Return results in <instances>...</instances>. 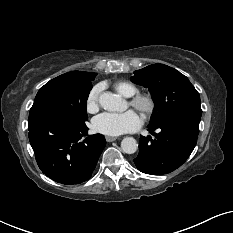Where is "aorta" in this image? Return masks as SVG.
I'll return each instance as SVG.
<instances>
[{"label": "aorta", "instance_id": "obj_1", "mask_svg": "<svg viewBox=\"0 0 233 233\" xmlns=\"http://www.w3.org/2000/svg\"><path fill=\"white\" fill-rule=\"evenodd\" d=\"M100 106L110 112L122 111L125 103L122 98L111 92H104L99 97ZM138 148L137 142L133 137H126L121 141V149L124 153L133 154Z\"/></svg>", "mask_w": 233, "mask_h": 233}]
</instances>
